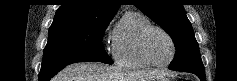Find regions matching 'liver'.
Returning <instances> with one entry per match:
<instances>
[{
	"instance_id": "liver-1",
	"label": "liver",
	"mask_w": 237,
	"mask_h": 81,
	"mask_svg": "<svg viewBox=\"0 0 237 81\" xmlns=\"http://www.w3.org/2000/svg\"><path fill=\"white\" fill-rule=\"evenodd\" d=\"M164 75L162 70L124 72L115 66L81 62L67 66L54 81H152Z\"/></svg>"
}]
</instances>
